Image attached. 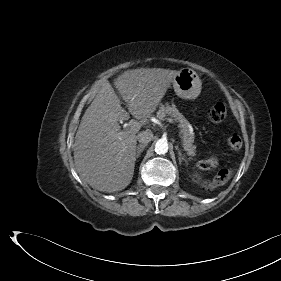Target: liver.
Wrapping results in <instances>:
<instances>
[{
  "label": "liver",
  "instance_id": "liver-1",
  "mask_svg": "<svg viewBox=\"0 0 281 281\" xmlns=\"http://www.w3.org/2000/svg\"><path fill=\"white\" fill-rule=\"evenodd\" d=\"M178 73L163 68L128 70L117 78L115 86L129 113L144 124ZM129 113L106 83L81 119L73 145L74 163L80 177L92 188L112 193L123 190L132 180L137 132L121 131L119 125L129 119Z\"/></svg>",
  "mask_w": 281,
  "mask_h": 281
}]
</instances>
